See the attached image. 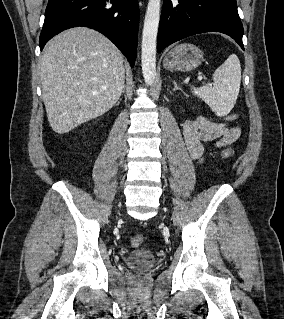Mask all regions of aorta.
<instances>
[{"label": "aorta", "mask_w": 284, "mask_h": 319, "mask_svg": "<svg viewBox=\"0 0 284 319\" xmlns=\"http://www.w3.org/2000/svg\"><path fill=\"white\" fill-rule=\"evenodd\" d=\"M161 0H149L142 32L141 66L144 81L152 85L156 77V44Z\"/></svg>", "instance_id": "1"}]
</instances>
